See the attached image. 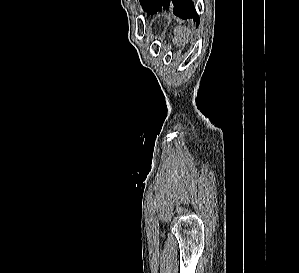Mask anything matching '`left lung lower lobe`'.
Masks as SVG:
<instances>
[{"instance_id":"obj_1","label":"left lung lower lobe","mask_w":299,"mask_h":273,"mask_svg":"<svg viewBox=\"0 0 299 273\" xmlns=\"http://www.w3.org/2000/svg\"><path fill=\"white\" fill-rule=\"evenodd\" d=\"M143 9L151 15L162 11V9H171L178 17L182 19L192 18L196 26L199 25V15L191 0H147Z\"/></svg>"}]
</instances>
